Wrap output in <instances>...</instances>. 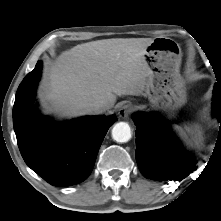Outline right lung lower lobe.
Instances as JSON below:
<instances>
[{
    "label": "right lung lower lobe",
    "instance_id": "98d812e1",
    "mask_svg": "<svg viewBox=\"0 0 221 221\" xmlns=\"http://www.w3.org/2000/svg\"><path fill=\"white\" fill-rule=\"evenodd\" d=\"M41 71L40 60L17 90L13 108L17 143L26 164L48 183L74 185L91 174L105 134L117 117L87 116L58 123L42 116L34 105Z\"/></svg>",
    "mask_w": 221,
    "mask_h": 221
}]
</instances>
